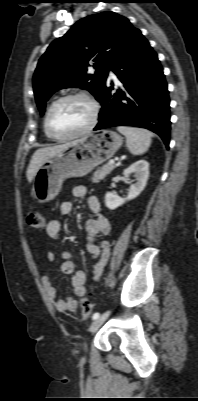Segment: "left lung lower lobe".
<instances>
[{"label":"left lung lower lobe","instance_id":"obj_1","mask_svg":"<svg viewBox=\"0 0 198 401\" xmlns=\"http://www.w3.org/2000/svg\"><path fill=\"white\" fill-rule=\"evenodd\" d=\"M111 70L122 87L112 93L105 85L100 99L102 109L94 130L112 126H138L157 133L169 147L170 111L167 83L156 52L136 30L128 46Z\"/></svg>","mask_w":198,"mask_h":401}]
</instances>
